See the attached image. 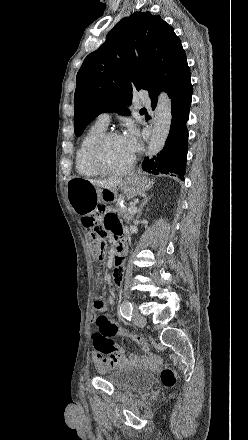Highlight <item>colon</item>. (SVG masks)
Returning a JSON list of instances; mask_svg holds the SVG:
<instances>
[{"mask_svg": "<svg viewBox=\"0 0 248 440\" xmlns=\"http://www.w3.org/2000/svg\"><path fill=\"white\" fill-rule=\"evenodd\" d=\"M103 211L94 209L91 214L83 217L85 226L91 228L90 244L95 258L102 259L105 255V227L102 222ZM98 330L93 335L94 346L100 357L107 361L109 366L116 367L126 363L124 350L115 343L111 336L120 335L127 337L144 348H148L146 340L139 334L133 333L113 321L105 315H99L97 318ZM162 383L171 387L176 383V373L171 368H164L160 373Z\"/></svg>", "mask_w": 248, "mask_h": 440, "instance_id": "5ec220e1", "label": "colon"}]
</instances>
